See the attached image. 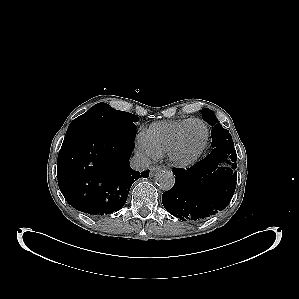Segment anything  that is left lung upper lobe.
I'll list each match as a JSON object with an SVG mask.
<instances>
[{
	"mask_svg": "<svg viewBox=\"0 0 299 299\" xmlns=\"http://www.w3.org/2000/svg\"><path fill=\"white\" fill-rule=\"evenodd\" d=\"M203 119L213 126L211 130L212 147H216L222 143H233L232 137L228 130L224 129L221 124L217 123L214 112L208 108L201 110Z\"/></svg>",
	"mask_w": 299,
	"mask_h": 299,
	"instance_id": "left-lung-upper-lobe-1",
	"label": "left lung upper lobe"
}]
</instances>
